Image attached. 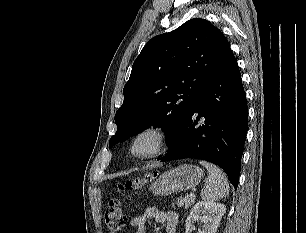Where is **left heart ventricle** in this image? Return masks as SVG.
<instances>
[{
	"label": "left heart ventricle",
	"mask_w": 306,
	"mask_h": 233,
	"mask_svg": "<svg viewBox=\"0 0 306 233\" xmlns=\"http://www.w3.org/2000/svg\"><path fill=\"white\" fill-rule=\"evenodd\" d=\"M154 143H155V140L152 135H144L136 141L134 145V150L137 153L148 152L152 150Z\"/></svg>",
	"instance_id": "obj_1"
}]
</instances>
